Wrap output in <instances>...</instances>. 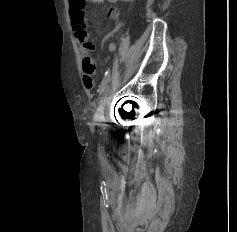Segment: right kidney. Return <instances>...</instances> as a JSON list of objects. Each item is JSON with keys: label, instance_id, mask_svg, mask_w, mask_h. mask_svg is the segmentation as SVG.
<instances>
[{"label": "right kidney", "instance_id": "1", "mask_svg": "<svg viewBox=\"0 0 237 232\" xmlns=\"http://www.w3.org/2000/svg\"><path fill=\"white\" fill-rule=\"evenodd\" d=\"M94 1H97V0H94ZM122 1H133V0H122Z\"/></svg>", "mask_w": 237, "mask_h": 232}]
</instances>
